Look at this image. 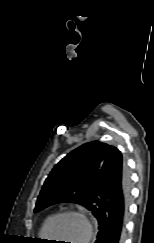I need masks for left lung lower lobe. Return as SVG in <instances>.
<instances>
[{
  "mask_svg": "<svg viewBox=\"0 0 154 243\" xmlns=\"http://www.w3.org/2000/svg\"><path fill=\"white\" fill-rule=\"evenodd\" d=\"M99 232L95 243H123L130 179L118 149L110 150L93 185Z\"/></svg>",
  "mask_w": 154,
  "mask_h": 243,
  "instance_id": "left-lung-lower-lobe-1",
  "label": "left lung lower lobe"
}]
</instances>
